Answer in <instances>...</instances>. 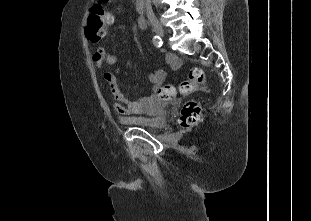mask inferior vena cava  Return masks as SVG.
<instances>
[{"instance_id": "obj_1", "label": "inferior vena cava", "mask_w": 311, "mask_h": 221, "mask_svg": "<svg viewBox=\"0 0 311 221\" xmlns=\"http://www.w3.org/2000/svg\"><path fill=\"white\" fill-rule=\"evenodd\" d=\"M145 6H146L147 16H154V12H153L152 6H151V0H145Z\"/></svg>"}]
</instances>
